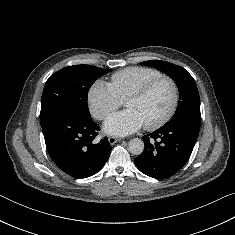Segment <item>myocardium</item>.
<instances>
[{
  "instance_id": "f54148a6",
  "label": "myocardium",
  "mask_w": 235,
  "mask_h": 235,
  "mask_svg": "<svg viewBox=\"0 0 235 235\" xmlns=\"http://www.w3.org/2000/svg\"><path fill=\"white\" fill-rule=\"evenodd\" d=\"M161 82H167L170 85L172 89V102L170 104L169 109L166 111V113L163 116H161L159 119H157L154 122L145 124V128L149 130L161 127L166 122H168L174 115L179 103V88L177 83L171 77L159 76L151 80L150 82L146 83L144 86L137 89L126 98V102L131 99L143 98L147 96Z\"/></svg>"
}]
</instances>
